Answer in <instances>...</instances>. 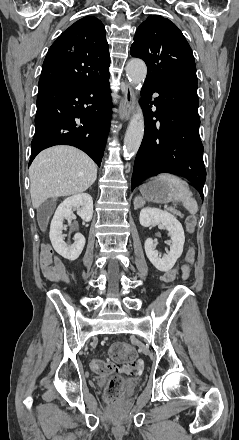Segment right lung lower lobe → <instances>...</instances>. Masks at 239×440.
Masks as SVG:
<instances>
[{"instance_id":"right-lung-lower-lobe-1","label":"right lung lower lobe","mask_w":239,"mask_h":440,"mask_svg":"<svg viewBox=\"0 0 239 440\" xmlns=\"http://www.w3.org/2000/svg\"><path fill=\"white\" fill-rule=\"evenodd\" d=\"M111 108L109 74L86 83L39 89L29 165L42 150L64 144L83 150L100 166Z\"/></svg>"}]
</instances>
